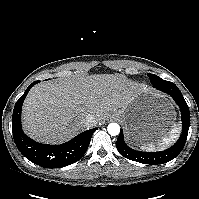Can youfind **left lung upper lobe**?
<instances>
[{
	"instance_id": "5c2ea615",
	"label": "left lung upper lobe",
	"mask_w": 199,
	"mask_h": 199,
	"mask_svg": "<svg viewBox=\"0 0 199 199\" xmlns=\"http://www.w3.org/2000/svg\"><path fill=\"white\" fill-rule=\"evenodd\" d=\"M148 77H149L151 83L153 84V87H155V88H157L159 86H166V85L173 84L172 82L163 80V79H161L160 77H158L157 75H154V74H148Z\"/></svg>"
}]
</instances>
